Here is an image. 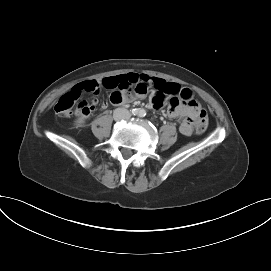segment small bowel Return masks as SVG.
Returning a JSON list of instances; mask_svg holds the SVG:
<instances>
[{
    "label": "small bowel",
    "mask_w": 271,
    "mask_h": 271,
    "mask_svg": "<svg viewBox=\"0 0 271 271\" xmlns=\"http://www.w3.org/2000/svg\"><path fill=\"white\" fill-rule=\"evenodd\" d=\"M89 85L94 86L95 92L100 87L111 89L110 100L115 104H125L132 101L135 97H146L147 91L155 89L157 94L152 99L150 106L154 109H160L166 101L165 95L180 94L188 95L193 99L189 89H181L177 83L168 82L164 79L151 77L142 73H124L112 77H107L101 80H90L78 84L75 88L88 90ZM133 87V88H131ZM131 88L130 92L129 89ZM195 101V100H194ZM98 104V99L94 97L91 104L81 103L76 111L79 116L87 115ZM167 115L171 118L180 119V132L183 135H190L194 129V118L201 106L195 101H180L176 97H170L166 101ZM102 107H107V102L102 104Z\"/></svg>",
    "instance_id": "small-bowel-1"
}]
</instances>
